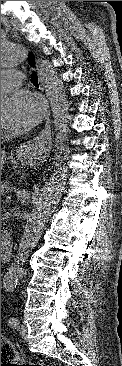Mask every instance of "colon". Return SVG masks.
<instances>
[{"label":"colon","instance_id":"1","mask_svg":"<svg viewBox=\"0 0 122 366\" xmlns=\"http://www.w3.org/2000/svg\"><path fill=\"white\" fill-rule=\"evenodd\" d=\"M5 357L7 361H13L15 359L14 350L10 342L1 338V358ZM4 366H42L38 363L25 362L21 364L11 363L4 364Z\"/></svg>","mask_w":122,"mask_h":366}]
</instances>
